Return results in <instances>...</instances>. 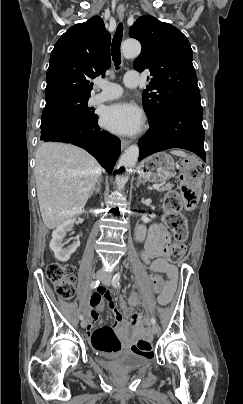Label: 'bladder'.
<instances>
[{"label": "bladder", "instance_id": "obj_1", "mask_svg": "<svg viewBox=\"0 0 243 404\" xmlns=\"http://www.w3.org/2000/svg\"><path fill=\"white\" fill-rule=\"evenodd\" d=\"M149 361V357L134 351H123L110 356L102 355L98 358L102 368L116 374L130 373L146 366Z\"/></svg>", "mask_w": 243, "mask_h": 404}]
</instances>
